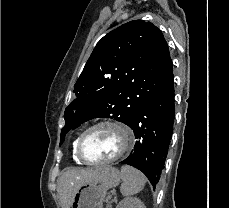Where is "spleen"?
<instances>
[{
    "instance_id": "1",
    "label": "spleen",
    "mask_w": 229,
    "mask_h": 208,
    "mask_svg": "<svg viewBox=\"0 0 229 208\" xmlns=\"http://www.w3.org/2000/svg\"><path fill=\"white\" fill-rule=\"evenodd\" d=\"M120 176L123 182L120 192L123 196H134V194H138L146 184L144 174H141L139 170H135L132 166H122Z\"/></svg>"
}]
</instances>
